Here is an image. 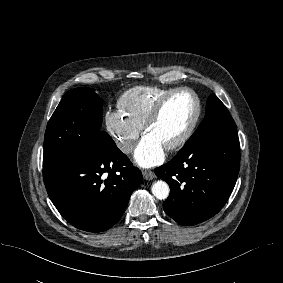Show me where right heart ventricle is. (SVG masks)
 <instances>
[{"label": "right heart ventricle", "instance_id": "1", "mask_svg": "<svg viewBox=\"0 0 283 283\" xmlns=\"http://www.w3.org/2000/svg\"><path fill=\"white\" fill-rule=\"evenodd\" d=\"M173 88L158 86H137L127 90L118 100V107L125 118L138 129L149 115L152 107L166 93Z\"/></svg>", "mask_w": 283, "mask_h": 283}]
</instances>
